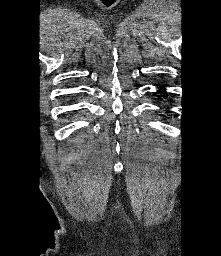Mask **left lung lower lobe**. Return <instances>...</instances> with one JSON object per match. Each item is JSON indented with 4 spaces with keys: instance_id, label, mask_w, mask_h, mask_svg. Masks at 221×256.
Here are the masks:
<instances>
[{
    "instance_id": "0a47b994",
    "label": "left lung lower lobe",
    "mask_w": 221,
    "mask_h": 256,
    "mask_svg": "<svg viewBox=\"0 0 221 256\" xmlns=\"http://www.w3.org/2000/svg\"><path fill=\"white\" fill-rule=\"evenodd\" d=\"M160 92H161V93H164L165 91H163V89H162V88H160Z\"/></svg>"
}]
</instances>
